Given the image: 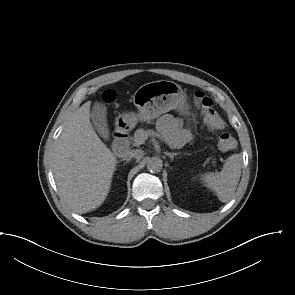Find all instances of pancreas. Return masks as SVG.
<instances>
[{"label":"pancreas","mask_w":295,"mask_h":295,"mask_svg":"<svg viewBox=\"0 0 295 295\" xmlns=\"http://www.w3.org/2000/svg\"><path fill=\"white\" fill-rule=\"evenodd\" d=\"M144 134H149V131L144 130L142 128L135 131L134 137L132 138L134 146H139L144 143L145 140L142 137V135H144ZM163 137L166 141H169V139L166 136H163Z\"/></svg>","instance_id":"1"}]
</instances>
